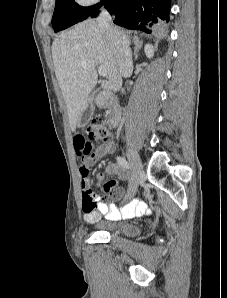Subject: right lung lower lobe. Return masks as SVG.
Listing matches in <instances>:
<instances>
[{"label": "right lung lower lobe", "mask_w": 227, "mask_h": 298, "mask_svg": "<svg viewBox=\"0 0 227 298\" xmlns=\"http://www.w3.org/2000/svg\"><path fill=\"white\" fill-rule=\"evenodd\" d=\"M103 5L115 24L128 29L150 33L153 24L169 20L170 0H106ZM98 9L88 18H95Z\"/></svg>", "instance_id": "right-lung-lower-lobe-1"}]
</instances>
